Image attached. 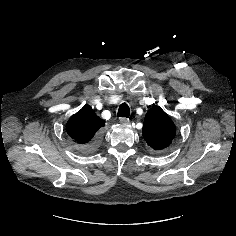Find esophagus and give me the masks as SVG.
<instances>
[{
  "mask_svg": "<svg viewBox=\"0 0 236 236\" xmlns=\"http://www.w3.org/2000/svg\"><path fill=\"white\" fill-rule=\"evenodd\" d=\"M119 122L122 124H128L129 123V119L126 117H120L119 118Z\"/></svg>",
  "mask_w": 236,
  "mask_h": 236,
  "instance_id": "1",
  "label": "esophagus"
}]
</instances>
